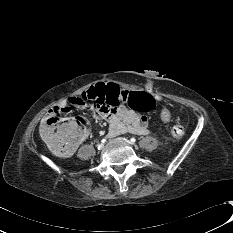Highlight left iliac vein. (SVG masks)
I'll return each mask as SVG.
<instances>
[{
    "label": "left iliac vein",
    "mask_w": 233,
    "mask_h": 233,
    "mask_svg": "<svg viewBox=\"0 0 233 233\" xmlns=\"http://www.w3.org/2000/svg\"><path fill=\"white\" fill-rule=\"evenodd\" d=\"M120 141L124 142V143H129V141L125 138H119Z\"/></svg>",
    "instance_id": "left-iliac-vein-1"
}]
</instances>
